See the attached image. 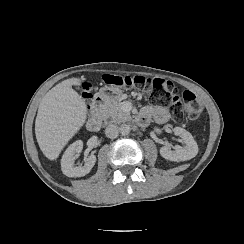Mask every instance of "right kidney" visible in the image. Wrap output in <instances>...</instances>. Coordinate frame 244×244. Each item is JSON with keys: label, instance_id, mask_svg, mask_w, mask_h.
I'll use <instances>...</instances> for the list:
<instances>
[{"label": "right kidney", "instance_id": "ca27d5eb", "mask_svg": "<svg viewBox=\"0 0 244 244\" xmlns=\"http://www.w3.org/2000/svg\"><path fill=\"white\" fill-rule=\"evenodd\" d=\"M83 149V142L77 140L72 143L64 152L61 159V169L67 177H82L88 174L96 162V156L90 155L85 158L84 166H74L75 154L80 153Z\"/></svg>", "mask_w": 244, "mask_h": 244}]
</instances>
